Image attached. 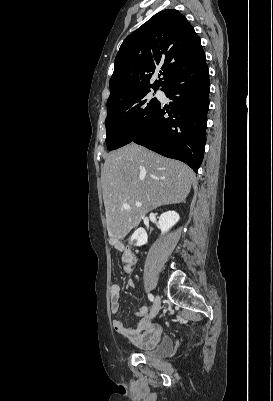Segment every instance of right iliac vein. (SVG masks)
I'll use <instances>...</instances> for the list:
<instances>
[{"instance_id":"right-iliac-vein-1","label":"right iliac vein","mask_w":273,"mask_h":401,"mask_svg":"<svg viewBox=\"0 0 273 401\" xmlns=\"http://www.w3.org/2000/svg\"><path fill=\"white\" fill-rule=\"evenodd\" d=\"M160 308H161L160 297L156 296L155 301H154L153 306H152V309L150 311L149 318H154L158 314Z\"/></svg>"}]
</instances>
